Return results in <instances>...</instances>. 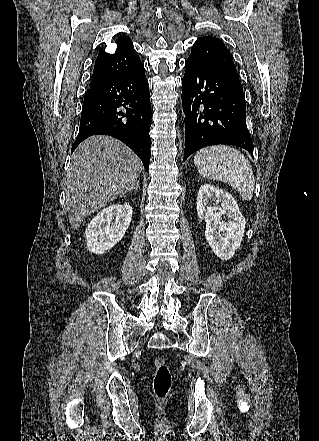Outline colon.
I'll return each mask as SVG.
<instances>
[{
    "mask_svg": "<svg viewBox=\"0 0 319 441\" xmlns=\"http://www.w3.org/2000/svg\"><path fill=\"white\" fill-rule=\"evenodd\" d=\"M155 375L153 390L158 398H165L172 386V376L169 366L161 357L154 359Z\"/></svg>",
    "mask_w": 319,
    "mask_h": 441,
    "instance_id": "obj_1",
    "label": "colon"
}]
</instances>
